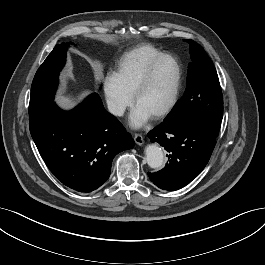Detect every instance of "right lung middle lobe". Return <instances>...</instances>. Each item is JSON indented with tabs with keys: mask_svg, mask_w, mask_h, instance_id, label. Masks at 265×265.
<instances>
[{
	"mask_svg": "<svg viewBox=\"0 0 265 265\" xmlns=\"http://www.w3.org/2000/svg\"><path fill=\"white\" fill-rule=\"evenodd\" d=\"M70 43L57 44L40 66L32 82L29 119L38 116L53 104L58 75L66 61V50Z\"/></svg>",
	"mask_w": 265,
	"mask_h": 265,
	"instance_id": "1",
	"label": "right lung middle lobe"
}]
</instances>
